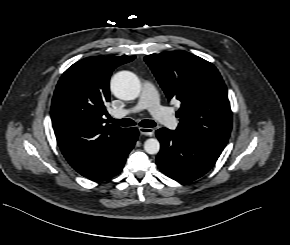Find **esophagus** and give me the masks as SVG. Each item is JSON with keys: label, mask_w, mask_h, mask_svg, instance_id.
I'll return each instance as SVG.
<instances>
[{"label": "esophagus", "mask_w": 290, "mask_h": 245, "mask_svg": "<svg viewBox=\"0 0 290 245\" xmlns=\"http://www.w3.org/2000/svg\"><path fill=\"white\" fill-rule=\"evenodd\" d=\"M139 132L145 136H153L155 133V130L153 128L140 127Z\"/></svg>", "instance_id": "34e87169"}]
</instances>
